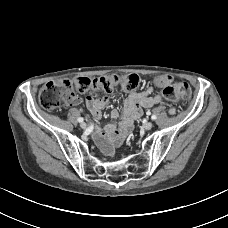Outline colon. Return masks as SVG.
I'll return each mask as SVG.
<instances>
[{"label":"colon","mask_w":228,"mask_h":228,"mask_svg":"<svg viewBox=\"0 0 228 228\" xmlns=\"http://www.w3.org/2000/svg\"><path fill=\"white\" fill-rule=\"evenodd\" d=\"M155 84L162 88L163 96L170 101L186 100L190 96V86L186 82L173 83L168 75L155 78ZM139 85L136 74L125 76L109 75L102 77H77L73 80H58L46 83L39 92V103L46 110H54L77 101L75 91L97 94L110 93L118 86L127 92L134 91Z\"/></svg>","instance_id":"obj_1"}]
</instances>
